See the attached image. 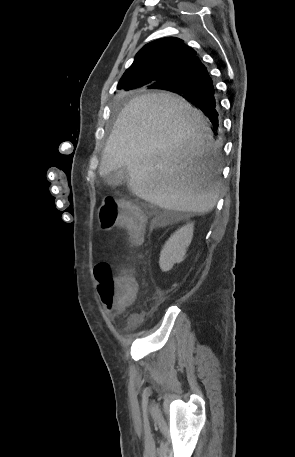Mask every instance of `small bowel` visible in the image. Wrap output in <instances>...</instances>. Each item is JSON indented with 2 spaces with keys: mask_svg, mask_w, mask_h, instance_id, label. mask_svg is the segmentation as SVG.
Instances as JSON below:
<instances>
[{
  "mask_svg": "<svg viewBox=\"0 0 295 457\" xmlns=\"http://www.w3.org/2000/svg\"><path fill=\"white\" fill-rule=\"evenodd\" d=\"M141 318H142V316H137V317H135L133 320H134V321H137V320H139V319H141Z\"/></svg>",
  "mask_w": 295,
  "mask_h": 457,
  "instance_id": "small-bowel-1",
  "label": "small bowel"
}]
</instances>
